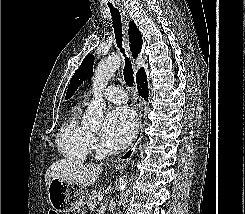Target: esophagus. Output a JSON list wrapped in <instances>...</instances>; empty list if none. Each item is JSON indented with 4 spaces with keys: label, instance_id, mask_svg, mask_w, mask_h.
<instances>
[{
    "label": "esophagus",
    "instance_id": "obj_1",
    "mask_svg": "<svg viewBox=\"0 0 245 214\" xmlns=\"http://www.w3.org/2000/svg\"><path fill=\"white\" fill-rule=\"evenodd\" d=\"M121 9V13H122V21H123V33H124V45H125V49L127 51V54L131 57L132 61L134 62L130 50H129V38H128V26L129 23L131 22V17L128 13V11L123 7L120 6ZM135 102L137 104V106H140L142 104V100L140 99V97L138 95L135 96ZM143 117L142 114L140 113L139 116V128L136 132V136L133 140V143L131 144V146L122 154L118 157L117 162H126L129 161L133 155L135 154L138 145L142 139L143 136Z\"/></svg>",
    "mask_w": 245,
    "mask_h": 214
}]
</instances>
